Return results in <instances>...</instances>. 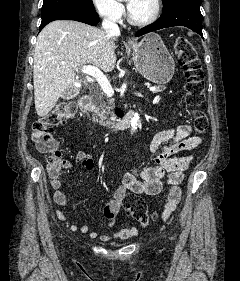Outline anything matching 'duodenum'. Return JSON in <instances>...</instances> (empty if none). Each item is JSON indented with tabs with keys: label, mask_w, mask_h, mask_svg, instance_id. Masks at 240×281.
I'll return each instance as SVG.
<instances>
[{
	"label": "duodenum",
	"mask_w": 240,
	"mask_h": 281,
	"mask_svg": "<svg viewBox=\"0 0 240 281\" xmlns=\"http://www.w3.org/2000/svg\"><path fill=\"white\" fill-rule=\"evenodd\" d=\"M91 98L89 96H83L79 100V108L81 112L88 116L90 108H91ZM135 114L134 111L130 110L128 112H124L122 110L117 111L115 120L108 126L107 132L108 133H117L125 128H127L132 120L134 119ZM90 134V131H89Z\"/></svg>",
	"instance_id": "410a0bca"
}]
</instances>
